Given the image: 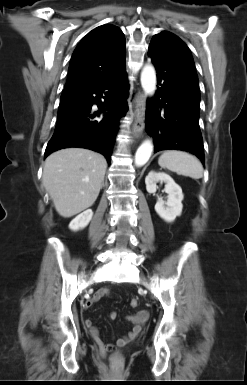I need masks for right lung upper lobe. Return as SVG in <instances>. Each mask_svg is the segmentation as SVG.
Returning a JSON list of instances; mask_svg holds the SVG:
<instances>
[{"label": "right lung upper lobe", "instance_id": "cb5924a9", "mask_svg": "<svg viewBox=\"0 0 247 385\" xmlns=\"http://www.w3.org/2000/svg\"><path fill=\"white\" fill-rule=\"evenodd\" d=\"M125 67V37L113 25L89 32L71 58L63 92H81L118 74Z\"/></svg>", "mask_w": 247, "mask_h": 385}]
</instances>
